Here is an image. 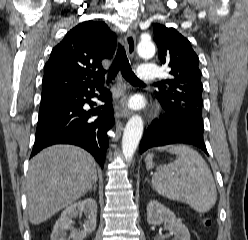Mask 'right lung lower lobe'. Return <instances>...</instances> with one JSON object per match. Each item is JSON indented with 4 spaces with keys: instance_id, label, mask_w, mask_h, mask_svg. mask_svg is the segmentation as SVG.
Returning a JSON list of instances; mask_svg holds the SVG:
<instances>
[{
    "instance_id": "obj_1",
    "label": "right lung lower lobe",
    "mask_w": 248,
    "mask_h": 240,
    "mask_svg": "<svg viewBox=\"0 0 248 240\" xmlns=\"http://www.w3.org/2000/svg\"><path fill=\"white\" fill-rule=\"evenodd\" d=\"M95 91L100 92L98 99L105 104L86 111L84 104L96 105L91 101L97 97ZM113 124L112 95L103 89V83L41 98L31 157L53 144H74L89 151L103 167L109 146L107 131Z\"/></svg>"
}]
</instances>
